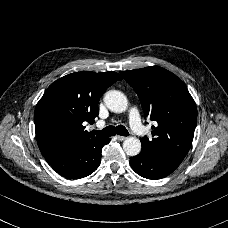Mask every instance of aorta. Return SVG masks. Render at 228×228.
Listing matches in <instances>:
<instances>
[{
    "instance_id": "1",
    "label": "aorta",
    "mask_w": 228,
    "mask_h": 228,
    "mask_svg": "<svg viewBox=\"0 0 228 228\" xmlns=\"http://www.w3.org/2000/svg\"><path fill=\"white\" fill-rule=\"evenodd\" d=\"M103 101L106 107L112 112H122L128 104L126 96L119 90L107 91ZM123 150L129 156H136L140 153L141 143L137 138L129 137L123 142Z\"/></svg>"
}]
</instances>
